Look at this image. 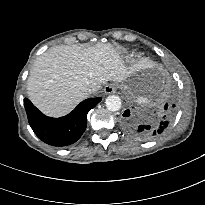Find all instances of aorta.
Listing matches in <instances>:
<instances>
[{
  "label": "aorta",
  "instance_id": "obj_1",
  "mask_svg": "<svg viewBox=\"0 0 205 205\" xmlns=\"http://www.w3.org/2000/svg\"><path fill=\"white\" fill-rule=\"evenodd\" d=\"M105 105L109 111H118L121 108V99L119 96L109 95L105 100Z\"/></svg>",
  "mask_w": 205,
  "mask_h": 205
}]
</instances>
